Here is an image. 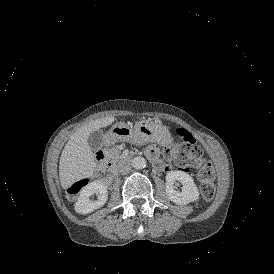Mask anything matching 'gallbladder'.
Returning <instances> with one entry per match:
<instances>
[{
  "label": "gallbladder",
  "mask_w": 274,
  "mask_h": 274,
  "mask_svg": "<svg viewBox=\"0 0 274 274\" xmlns=\"http://www.w3.org/2000/svg\"><path fill=\"white\" fill-rule=\"evenodd\" d=\"M104 140V131L102 129H98L93 131L87 138V142L92 150H97L103 144Z\"/></svg>",
  "instance_id": "bac80fb5"
}]
</instances>
